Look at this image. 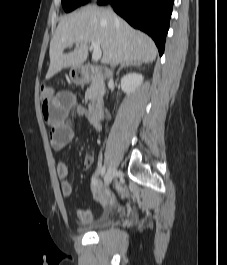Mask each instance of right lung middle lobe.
I'll use <instances>...</instances> for the list:
<instances>
[{
    "label": "right lung middle lobe",
    "instance_id": "right-lung-middle-lobe-1",
    "mask_svg": "<svg viewBox=\"0 0 227 265\" xmlns=\"http://www.w3.org/2000/svg\"><path fill=\"white\" fill-rule=\"evenodd\" d=\"M85 3V0H62V6L66 12H70Z\"/></svg>",
    "mask_w": 227,
    "mask_h": 265
}]
</instances>
